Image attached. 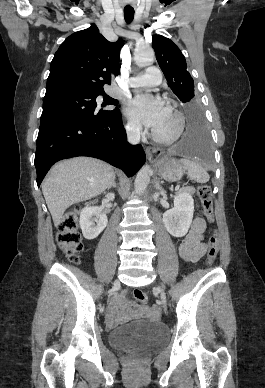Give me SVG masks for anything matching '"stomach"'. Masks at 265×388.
Segmentation results:
<instances>
[{
	"mask_svg": "<svg viewBox=\"0 0 265 388\" xmlns=\"http://www.w3.org/2000/svg\"><path fill=\"white\" fill-rule=\"evenodd\" d=\"M156 165L162 178L169 182L180 180L184 174V167L175 158L164 157Z\"/></svg>",
	"mask_w": 265,
	"mask_h": 388,
	"instance_id": "0dacf381",
	"label": "stomach"
}]
</instances>
